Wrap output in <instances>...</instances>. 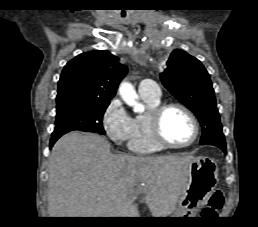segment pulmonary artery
<instances>
[{"mask_svg": "<svg viewBox=\"0 0 258 227\" xmlns=\"http://www.w3.org/2000/svg\"><path fill=\"white\" fill-rule=\"evenodd\" d=\"M138 92L141 97L159 99L161 97L160 87L153 80H142L138 86Z\"/></svg>", "mask_w": 258, "mask_h": 227, "instance_id": "e3ab8cb5", "label": "pulmonary artery"}]
</instances>
